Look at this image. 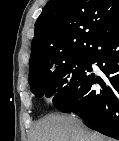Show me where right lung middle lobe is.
Listing matches in <instances>:
<instances>
[{
    "label": "right lung middle lobe",
    "mask_w": 119,
    "mask_h": 141,
    "mask_svg": "<svg viewBox=\"0 0 119 141\" xmlns=\"http://www.w3.org/2000/svg\"><path fill=\"white\" fill-rule=\"evenodd\" d=\"M89 66L88 57H78L59 67L30 74L31 91L39 98L54 95L53 104L61 106L70 99Z\"/></svg>",
    "instance_id": "obj_1"
}]
</instances>
